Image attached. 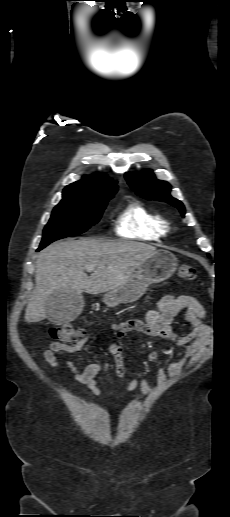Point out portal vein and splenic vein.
<instances>
[{
  "label": "portal vein and splenic vein",
  "mask_w": 230,
  "mask_h": 517,
  "mask_svg": "<svg viewBox=\"0 0 230 517\" xmlns=\"http://www.w3.org/2000/svg\"><path fill=\"white\" fill-rule=\"evenodd\" d=\"M86 270H87L88 272H91V271H94V270H95V267H94V266H87V267H86Z\"/></svg>",
  "instance_id": "obj_1"
}]
</instances>
